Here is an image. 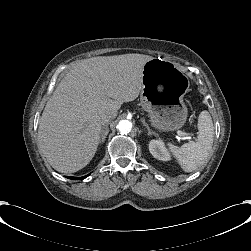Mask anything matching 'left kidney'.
Listing matches in <instances>:
<instances>
[{"instance_id": "left-kidney-1", "label": "left kidney", "mask_w": 251, "mask_h": 251, "mask_svg": "<svg viewBox=\"0 0 251 251\" xmlns=\"http://www.w3.org/2000/svg\"><path fill=\"white\" fill-rule=\"evenodd\" d=\"M148 148L152 156L161 161H171L172 152L162 139H151L148 143Z\"/></svg>"}]
</instances>
